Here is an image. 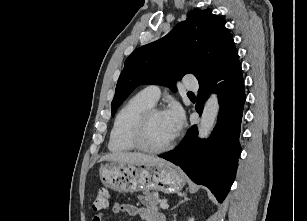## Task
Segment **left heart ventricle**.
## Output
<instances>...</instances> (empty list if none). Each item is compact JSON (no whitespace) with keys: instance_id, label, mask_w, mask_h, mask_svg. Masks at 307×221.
<instances>
[{"instance_id":"1","label":"left heart ventricle","mask_w":307,"mask_h":221,"mask_svg":"<svg viewBox=\"0 0 307 221\" xmlns=\"http://www.w3.org/2000/svg\"><path fill=\"white\" fill-rule=\"evenodd\" d=\"M173 133L165 112L155 114L148 126L146 142L153 147H160L170 141Z\"/></svg>"}]
</instances>
